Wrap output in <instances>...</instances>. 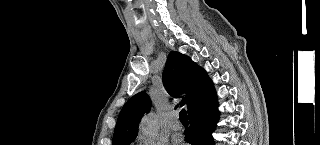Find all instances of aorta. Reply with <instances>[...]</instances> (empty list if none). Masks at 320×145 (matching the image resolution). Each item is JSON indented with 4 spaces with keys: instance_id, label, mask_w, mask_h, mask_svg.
Masks as SVG:
<instances>
[{
    "instance_id": "1",
    "label": "aorta",
    "mask_w": 320,
    "mask_h": 145,
    "mask_svg": "<svg viewBox=\"0 0 320 145\" xmlns=\"http://www.w3.org/2000/svg\"><path fill=\"white\" fill-rule=\"evenodd\" d=\"M141 130L149 136H155L158 133L157 118L153 113H150L143 118Z\"/></svg>"
}]
</instances>
